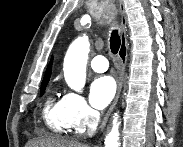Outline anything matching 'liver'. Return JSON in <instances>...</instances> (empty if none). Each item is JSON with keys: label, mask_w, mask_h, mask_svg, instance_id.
Segmentation results:
<instances>
[{"label": "liver", "mask_w": 183, "mask_h": 147, "mask_svg": "<svg viewBox=\"0 0 183 147\" xmlns=\"http://www.w3.org/2000/svg\"><path fill=\"white\" fill-rule=\"evenodd\" d=\"M26 147H87L84 144L57 137H40L29 141Z\"/></svg>", "instance_id": "liver-1"}]
</instances>
